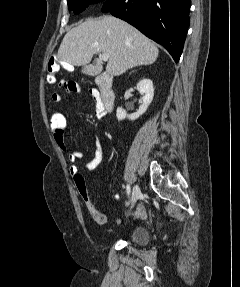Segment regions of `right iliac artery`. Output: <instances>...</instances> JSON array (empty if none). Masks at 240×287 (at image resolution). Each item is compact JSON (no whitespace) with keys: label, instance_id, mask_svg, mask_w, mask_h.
I'll use <instances>...</instances> for the list:
<instances>
[{"label":"right iliac artery","instance_id":"right-iliac-artery-1","mask_svg":"<svg viewBox=\"0 0 240 287\" xmlns=\"http://www.w3.org/2000/svg\"><path fill=\"white\" fill-rule=\"evenodd\" d=\"M130 192H131V188H130L129 185H127V187H126V193H127L128 196L130 195Z\"/></svg>","mask_w":240,"mask_h":287}]
</instances>
